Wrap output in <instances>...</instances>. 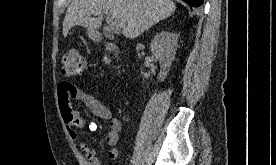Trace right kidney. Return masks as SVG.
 Returning <instances> with one entry per match:
<instances>
[{"instance_id": "1", "label": "right kidney", "mask_w": 276, "mask_h": 165, "mask_svg": "<svg viewBox=\"0 0 276 165\" xmlns=\"http://www.w3.org/2000/svg\"><path fill=\"white\" fill-rule=\"evenodd\" d=\"M178 35L162 31L151 42V52L161 66L159 79L163 81L170 70L171 63L175 59Z\"/></svg>"}]
</instances>
